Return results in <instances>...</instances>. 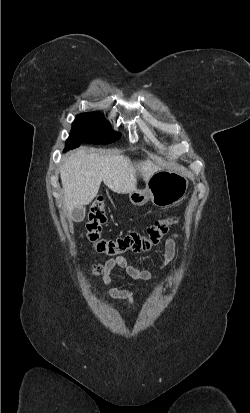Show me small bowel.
I'll list each match as a JSON object with an SVG mask.
<instances>
[{
	"instance_id": "small-bowel-1",
	"label": "small bowel",
	"mask_w": 250,
	"mask_h": 413,
	"mask_svg": "<svg viewBox=\"0 0 250 413\" xmlns=\"http://www.w3.org/2000/svg\"><path fill=\"white\" fill-rule=\"evenodd\" d=\"M176 256V243L174 238L167 239L164 250V263L160 265V269L166 267ZM115 267L123 269L131 278L136 280L148 281L152 278V273L146 269H139L128 262V260L117 255L109 258L103 266L102 280L106 286L111 284V272ZM108 294L113 299L128 300L130 303H134L133 292L129 289L121 288H109Z\"/></svg>"
}]
</instances>
